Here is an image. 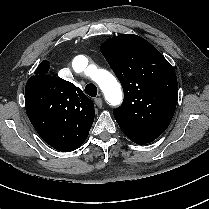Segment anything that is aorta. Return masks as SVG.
Instances as JSON below:
<instances>
[{"instance_id":"762f6f07","label":"aorta","mask_w":209,"mask_h":209,"mask_svg":"<svg viewBox=\"0 0 209 209\" xmlns=\"http://www.w3.org/2000/svg\"><path fill=\"white\" fill-rule=\"evenodd\" d=\"M72 67L74 71L85 72L90 76L99 85L110 103H116L120 99V85L109 71L89 65L87 57L83 55H78L73 59Z\"/></svg>"}]
</instances>
